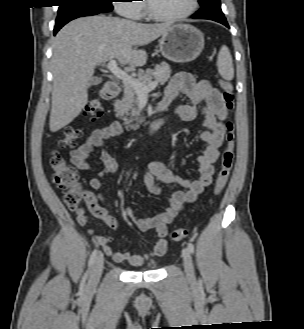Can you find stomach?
I'll list each match as a JSON object with an SVG mask.
<instances>
[{
    "mask_svg": "<svg viewBox=\"0 0 304 329\" xmlns=\"http://www.w3.org/2000/svg\"><path fill=\"white\" fill-rule=\"evenodd\" d=\"M161 54L176 63L196 59L204 48L203 33L192 25H172L159 40Z\"/></svg>",
    "mask_w": 304,
    "mask_h": 329,
    "instance_id": "1",
    "label": "stomach"
}]
</instances>
